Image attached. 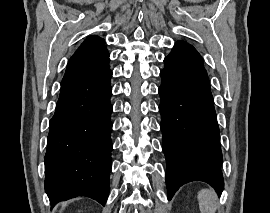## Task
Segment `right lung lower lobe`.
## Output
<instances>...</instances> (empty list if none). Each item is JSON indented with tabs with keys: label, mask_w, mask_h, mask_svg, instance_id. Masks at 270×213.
I'll return each mask as SVG.
<instances>
[{
	"label": "right lung lower lobe",
	"mask_w": 270,
	"mask_h": 213,
	"mask_svg": "<svg viewBox=\"0 0 270 213\" xmlns=\"http://www.w3.org/2000/svg\"><path fill=\"white\" fill-rule=\"evenodd\" d=\"M112 71L62 85L50 120L45 191L51 206L77 196L105 205L112 143Z\"/></svg>",
	"instance_id": "98d812e1"
}]
</instances>
